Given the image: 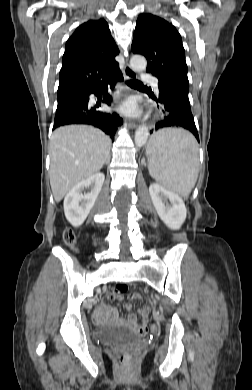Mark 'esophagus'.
Wrapping results in <instances>:
<instances>
[{"instance_id":"34e87169","label":"esophagus","mask_w":252,"mask_h":390,"mask_svg":"<svg viewBox=\"0 0 252 390\" xmlns=\"http://www.w3.org/2000/svg\"><path fill=\"white\" fill-rule=\"evenodd\" d=\"M124 75L128 80H132L136 78V73L129 65H125L124 67ZM125 124L131 129H134L137 126V124L134 121H127Z\"/></svg>"}]
</instances>
